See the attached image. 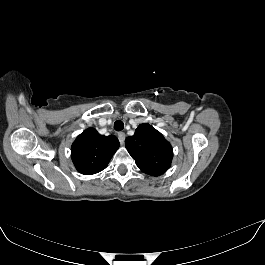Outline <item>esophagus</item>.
I'll return each instance as SVG.
<instances>
[{
  "instance_id": "34e87169",
  "label": "esophagus",
  "mask_w": 265,
  "mask_h": 265,
  "mask_svg": "<svg viewBox=\"0 0 265 265\" xmlns=\"http://www.w3.org/2000/svg\"><path fill=\"white\" fill-rule=\"evenodd\" d=\"M125 138H126V135L124 132L118 133V139H119V142L121 143V145L124 144Z\"/></svg>"
}]
</instances>
